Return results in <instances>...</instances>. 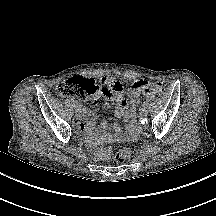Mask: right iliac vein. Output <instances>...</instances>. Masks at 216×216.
Here are the masks:
<instances>
[{
    "label": "right iliac vein",
    "instance_id": "63e3f726",
    "mask_svg": "<svg viewBox=\"0 0 216 216\" xmlns=\"http://www.w3.org/2000/svg\"><path fill=\"white\" fill-rule=\"evenodd\" d=\"M82 107L76 109V117L81 116Z\"/></svg>",
    "mask_w": 216,
    "mask_h": 216
}]
</instances>
